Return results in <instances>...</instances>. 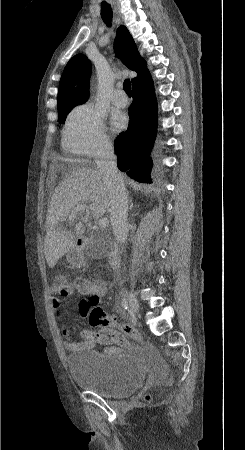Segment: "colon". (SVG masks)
I'll use <instances>...</instances> for the list:
<instances>
[{"label": "colon", "mask_w": 245, "mask_h": 450, "mask_svg": "<svg viewBox=\"0 0 245 450\" xmlns=\"http://www.w3.org/2000/svg\"><path fill=\"white\" fill-rule=\"evenodd\" d=\"M65 283L86 294H92L94 291V285L85 275L69 278ZM89 299L90 304L85 308L88 314L89 323L92 327L99 328V330L86 333L85 335L94 338L98 343L106 345H123L127 342L124 334L114 329L116 326H119L120 329L128 335H135V332L130 325L120 323L115 316L108 314L99 306L98 300L92 295ZM146 399L149 400V396H146Z\"/></svg>", "instance_id": "obj_1"}]
</instances>
